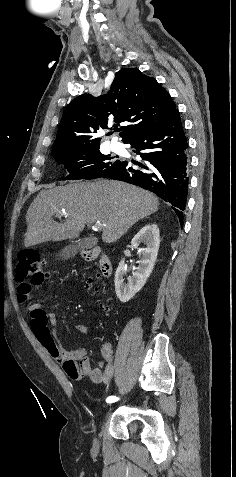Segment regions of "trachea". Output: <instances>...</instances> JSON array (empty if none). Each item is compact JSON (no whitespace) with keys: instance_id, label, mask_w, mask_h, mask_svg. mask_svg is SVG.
Segmentation results:
<instances>
[{"instance_id":"1","label":"trachea","mask_w":236,"mask_h":477,"mask_svg":"<svg viewBox=\"0 0 236 477\" xmlns=\"http://www.w3.org/2000/svg\"><path fill=\"white\" fill-rule=\"evenodd\" d=\"M114 130H115V131H118V129H117V128H115Z\"/></svg>"}]
</instances>
